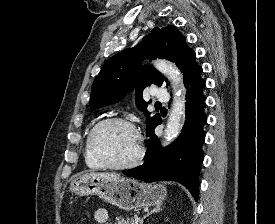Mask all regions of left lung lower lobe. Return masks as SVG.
<instances>
[{"instance_id": "left-lung-lower-lobe-1", "label": "left lung lower lobe", "mask_w": 275, "mask_h": 224, "mask_svg": "<svg viewBox=\"0 0 275 224\" xmlns=\"http://www.w3.org/2000/svg\"><path fill=\"white\" fill-rule=\"evenodd\" d=\"M202 68L198 69L185 82L186 92V120L178 138L165 148H161L160 141L154 133L161 120L156 122L146 136L147 151L145 162L136 168L124 172L129 177L147 183L154 181H177L189 189L197 201L199 196V172L203 162L202 144L205 140L203 126L207 121L203 106L205 96L202 89L205 81L200 77Z\"/></svg>"}]
</instances>
